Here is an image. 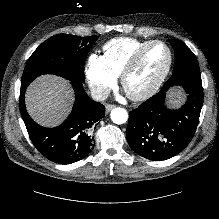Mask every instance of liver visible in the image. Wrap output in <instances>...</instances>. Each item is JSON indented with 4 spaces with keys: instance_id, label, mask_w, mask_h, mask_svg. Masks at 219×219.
Wrapping results in <instances>:
<instances>
[{
    "instance_id": "obj_1",
    "label": "liver",
    "mask_w": 219,
    "mask_h": 219,
    "mask_svg": "<svg viewBox=\"0 0 219 219\" xmlns=\"http://www.w3.org/2000/svg\"><path fill=\"white\" fill-rule=\"evenodd\" d=\"M73 102L69 83L54 75L38 77L27 89L25 104L30 116L39 124L53 127L68 115Z\"/></svg>"
}]
</instances>
